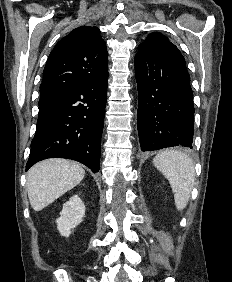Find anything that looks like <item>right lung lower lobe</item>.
Segmentation results:
<instances>
[{
  "instance_id": "right-lung-lower-lobe-1",
  "label": "right lung lower lobe",
  "mask_w": 232,
  "mask_h": 282,
  "mask_svg": "<svg viewBox=\"0 0 232 282\" xmlns=\"http://www.w3.org/2000/svg\"><path fill=\"white\" fill-rule=\"evenodd\" d=\"M107 83L108 74L80 83L38 116L26 170L40 160L58 157L99 171Z\"/></svg>"
}]
</instances>
